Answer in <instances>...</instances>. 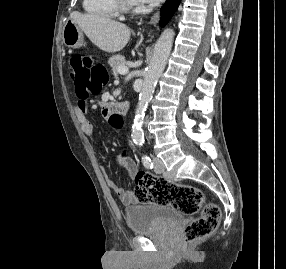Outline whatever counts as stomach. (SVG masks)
<instances>
[{
    "label": "stomach",
    "instance_id": "obj_1",
    "mask_svg": "<svg viewBox=\"0 0 286 269\" xmlns=\"http://www.w3.org/2000/svg\"><path fill=\"white\" fill-rule=\"evenodd\" d=\"M62 41L70 48H79L83 45L84 35L80 27L73 21L68 20L63 28Z\"/></svg>",
    "mask_w": 286,
    "mask_h": 269
}]
</instances>
